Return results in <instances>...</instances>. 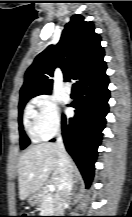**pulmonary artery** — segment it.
<instances>
[{
  "instance_id": "pulmonary-artery-1",
  "label": "pulmonary artery",
  "mask_w": 132,
  "mask_h": 217,
  "mask_svg": "<svg viewBox=\"0 0 132 217\" xmlns=\"http://www.w3.org/2000/svg\"><path fill=\"white\" fill-rule=\"evenodd\" d=\"M64 89H65V92L68 93V94H70L71 91H72V88H71L70 84H66Z\"/></svg>"
}]
</instances>
